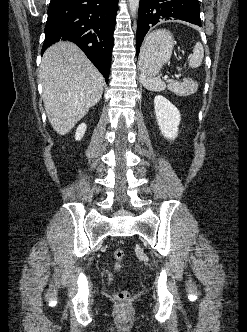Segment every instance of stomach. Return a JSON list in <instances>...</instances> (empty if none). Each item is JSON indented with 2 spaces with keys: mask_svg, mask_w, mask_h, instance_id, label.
Returning <instances> with one entry per match:
<instances>
[{
  "mask_svg": "<svg viewBox=\"0 0 247 332\" xmlns=\"http://www.w3.org/2000/svg\"><path fill=\"white\" fill-rule=\"evenodd\" d=\"M174 46L172 34L167 30L150 33L141 48L139 66L143 75L155 77L170 60Z\"/></svg>",
  "mask_w": 247,
  "mask_h": 332,
  "instance_id": "stomach-1",
  "label": "stomach"
}]
</instances>
